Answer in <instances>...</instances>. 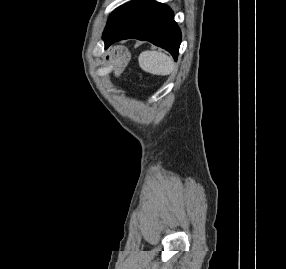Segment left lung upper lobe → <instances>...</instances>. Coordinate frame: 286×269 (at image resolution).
<instances>
[{
	"instance_id": "left-lung-upper-lobe-1",
	"label": "left lung upper lobe",
	"mask_w": 286,
	"mask_h": 269,
	"mask_svg": "<svg viewBox=\"0 0 286 269\" xmlns=\"http://www.w3.org/2000/svg\"><path fill=\"white\" fill-rule=\"evenodd\" d=\"M143 0H133L127 4H124L117 8L109 17V20L107 22L106 30H109L116 26V24L125 17L131 10H133L135 7H137Z\"/></svg>"
}]
</instances>
